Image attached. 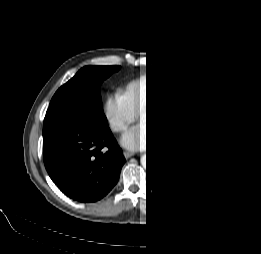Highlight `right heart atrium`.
<instances>
[{"mask_svg":"<svg viewBox=\"0 0 261 254\" xmlns=\"http://www.w3.org/2000/svg\"><path fill=\"white\" fill-rule=\"evenodd\" d=\"M106 115L110 128L115 132L124 131L137 117L136 111L123 94H117L108 100Z\"/></svg>","mask_w":261,"mask_h":254,"instance_id":"obj_1","label":"right heart atrium"}]
</instances>
